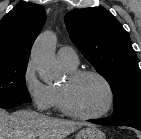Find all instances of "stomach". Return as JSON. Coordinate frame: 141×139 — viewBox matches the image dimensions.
Segmentation results:
<instances>
[{
  "label": "stomach",
  "instance_id": "stomach-1",
  "mask_svg": "<svg viewBox=\"0 0 141 139\" xmlns=\"http://www.w3.org/2000/svg\"><path fill=\"white\" fill-rule=\"evenodd\" d=\"M75 139H106L105 134L95 126H87L76 135Z\"/></svg>",
  "mask_w": 141,
  "mask_h": 139
}]
</instances>
